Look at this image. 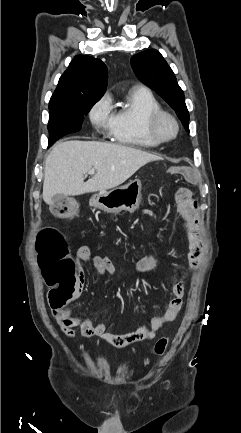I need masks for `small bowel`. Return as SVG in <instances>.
I'll use <instances>...</instances> for the list:
<instances>
[{
	"mask_svg": "<svg viewBox=\"0 0 241 433\" xmlns=\"http://www.w3.org/2000/svg\"><path fill=\"white\" fill-rule=\"evenodd\" d=\"M176 204L179 214L183 217L187 226V235L189 240V251L186 255V261L189 269H196L204 255V244L201 238L200 219L198 208L192 198V193L187 188H180L176 192ZM92 260L94 268L100 275L115 276L116 270L112 261L105 256H94L91 258L90 248L82 246L76 253L75 269L77 272L78 284L77 294L83 287V272L80 267V261ZM140 269L144 271H157L160 266V256L152 255L142 260L139 264ZM172 299L167 303L165 312L156 317L150 318L146 324L140 326L133 332L126 334H113L107 332L105 323H93L90 319H84L74 316L70 309L65 312H56L52 309V314L57 321L62 332L69 338L75 337V330H79L85 338L100 339L115 347H127L140 341H150L156 336V333L172 322L183 303L184 285L182 282L177 283L172 288Z\"/></svg>",
	"mask_w": 241,
	"mask_h": 433,
	"instance_id": "obj_1",
	"label": "small bowel"
}]
</instances>
